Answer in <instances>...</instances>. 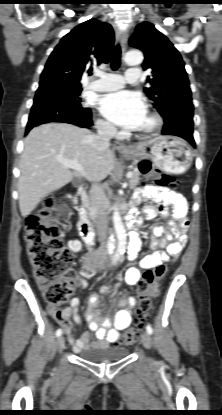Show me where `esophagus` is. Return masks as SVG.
<instances>
[{"label":"esophagus","instance_id":"obj_1","mask_svg":"<svg viewBox=\"0 0 222 415\" xmlns=\"http://www.w3.org/2000/svg\"><path fill=\"white\" fill-rule=\"evenodd\" d=\"M117 38L120 41V44H121V47H122V53L124 55V53L126 51L127 34L125 32H118L117 33ZM113 145L118 150L126 151V150L129 149L126 145H124V144H122L118 141H115Z\"/></svg>","mask_w":222,"mask_h":415}]
</instances>
